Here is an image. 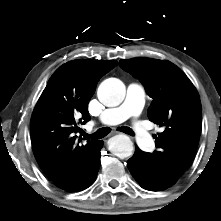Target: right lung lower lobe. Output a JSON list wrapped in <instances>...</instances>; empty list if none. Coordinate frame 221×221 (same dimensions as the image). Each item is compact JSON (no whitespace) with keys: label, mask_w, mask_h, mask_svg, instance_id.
<instances>
[{"label":"right lung lower lobe","mask_w":221,"mask_h":221,"mask_svg":"<svg viewBox=\"0 0 221 221\" xmlns=\"http://www.w3.org/2000/svg\"><path fill=\"white\" fill-rule=\"evenodd\" d=\"M102 146L103 141H99L94 149L92 159L89 162L86 171L84 172L82 177L74 185L70 186L66 191H81L88 188L94 183L100 167V150Z\"/></svg>","instance_id":"98d812e1"}]
</instances>
